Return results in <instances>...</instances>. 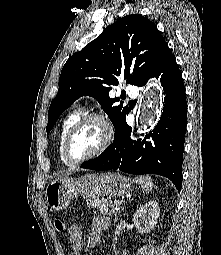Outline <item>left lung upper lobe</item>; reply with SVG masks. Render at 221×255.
Instances as JSON below:
<instances>
[{"label":"left lung upper lobe","mask_w":221,"mask_h":255,"mask_svg":"<svg viewBox=\"0 0 221 255\" xmlns=\"http://www.w3.org/2000/svg\"><path fill=\"white\" fill-rule=\"evenodd\" d=\"M166 46L156 25L145 16L128 15L109 25L65 63L57 96L49 107L47 134L59 115L83 95L94 97L116 127L129 108L113 105L116 100L108 94L111 86L118 85V76H124L129 84L142 86Z\"/></svg>","instance_id":"5c2ea615"}]
</instances>
